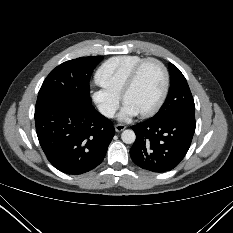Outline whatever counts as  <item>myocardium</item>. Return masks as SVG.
Wrapping results in <instances>:
<instances>
[{"instance_id":"f54148a6","label":"myocardium","mask_w":233,"mask_h":233,"mask_svg":"<svg viewBox=\"0 0 233 233\" xmlns=\"http://www.w3.org/2000/svg\"><path fill=\"white\" fill-rule=\"evenodd\" d=\"M149 62H154L160 67L162 74H163L164 82H163V89H162L159 99L157 100V102L155 103L153 107H151L150 109L146 111L139 113L140 116L142 117H149L157 113L161 109V107L163 106L167 98L168 91H169V85H170V76H169L168 69L164 65V63L156 58H152V57L144 58L132 69L121 91V98H122V101L125 103V97L127 93L134 87L142 68Z\"/></svg>"}]
</instances>
